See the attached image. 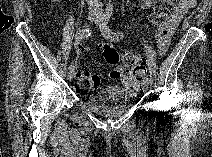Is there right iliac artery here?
Wrapping results in <instances>:
<instances>
[{
	"mask_svg": "<svg viewBox=\"0 0 212 157\" xmlns=\"http://www.w3.org/2000/svg\"><path fill=\"white\" fill-rule=\"evenodd\" d=\"M91 35V30L89 29H82V30H79L77 35H76V39H83V38H86V37H89ZM69 70L70 71H73L74 70V67L71 65L69 66Z\"/></svg>",
	"mask_w": 212,
	"mask_h": 157,
	"instance_id": "82829eb1",
	"label": "right iliac artery"
}]
</instances>
